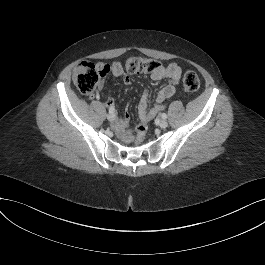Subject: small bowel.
<instances>
[{
  "mask_svg": "<svg viewBox=\"0 0 265 265\" xmlns=\"http://www.w3.org/2000/svg\"><path fill=\"white\" fill-rule=\"evenodd\" d=\"M97 69L100 72V81H99V90H103L105 86V78L111 74L116 78H121L125 84L131 83V78L124 72L122 64L118 61L113 62L111 65L105 63H97ZM182 76V68L176 63H170L166 66H160L156 71L151 73V78L155 81L169 79L170 82L162 87L157 94L156 102L158 104L162 103L164 100L172 97L177 88L180 85ZM149 93L147 90H144L139 102V113L144 115L147 109ZM90 99H99V93H93L90 96ZM106 106L109 109L115 111V103L112 99L106 101ZM129 123V114L126 112L121 118L116 119L115 117V127L119 130H123Z\"/></svg>",
  "mask_w": 265,
  "mask_h": 265,
  "instance_id": "c3829d8e",
  "label": "small bowel"
}]
</instances>
